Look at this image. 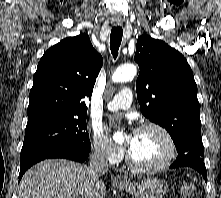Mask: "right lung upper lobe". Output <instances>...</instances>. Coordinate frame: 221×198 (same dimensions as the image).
Here are the masks:
<instances>
[{"mask_svg":"<svg viewBox=\"0 0 221 198\" xmlns=\"http://www.w3.org/2000/svg\"><path fill=\"white\" fill-rule=\"evenodd\" d=\"M103 59L87 34L63 39L38 63L29 94L28 121L51 115H86Z\"/></svg>","mask_w":221,"mask_h":198,"instance_id":"obj_1","label":"right lung upper lobe"}]
</instances>
